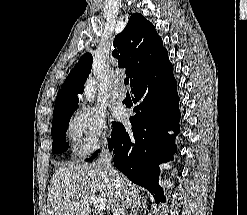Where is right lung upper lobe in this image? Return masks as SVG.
<instances>
[{
	"instance_id": "obj_1",
	"label": "right lung upper lobe",
	"mask_w": 247,
	"mask_h": 215,
	"mask_svg": "<svg viewBox=\"0 0 247 215\" xmlns=\"http://www.w3.org/2000/svg\"><path fill=\"white\" fill-rule=\"evenodd\" d=\"M112 55L118 59L119 67H126L131 84L150 69L166 52L155 27L141 14H133L125 29L113 41ZM92 55L86 53L66 78L58 92L53 114L78 104L77 94L82 93L84 83L91 71Z\"/></svg>"
}]
</instances>
